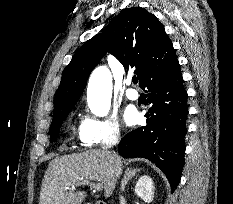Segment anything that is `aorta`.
Here are the masks:
<instances>
[{"label": "aorta", "mask_w": 233, "mask_h": 204, "mask_svg": "<svg viewBox=\"0 0 233 204\" xmlns=\"http://www.w3.org/2000/svg\"><path fill=\"white\" fill-rule=\"evenodd\" d=\"M112 97V76L105 66L97 67L89 78L87 103L91 112L104 117L108 114Z\"/></svg>", "instance_id": "aorta-1"}]
</instances>
